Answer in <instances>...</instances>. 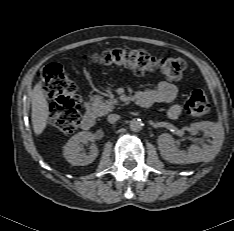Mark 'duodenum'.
Wrapping results in <instances>:
<instances>
[{
    "instance_id": "1",
    "label": "duodenum",
    "mask_w": 234,
    "mask_h": 231,
    "mask_svg": "<svg viewBox=\"0 0 234 231\" xmlns=\"http://www.w3.org/2000/svg\"><path fill=\"white\" fill-rule=\"evenodd\" d=\"M135 102L138 106L144 108L150 107L151 105V102L140 94L135 95ZM94 125H95L94 114L92 112H87L86 114H84L81 120V127L84 130H90L94 127Z\"/></svg>"
}]
</instances>
